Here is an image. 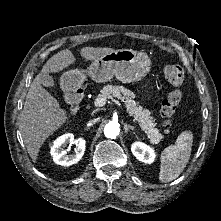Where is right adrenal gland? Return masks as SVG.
Returning a JSON list of instances; mask_svg holds the SVG:
<instances>
[{
	"label": "right adrenal gland",
	"mask_w": 221,
	"mask_h": 221,
	"mask_svg": "<svg viewBox=\"0 0 221 221\" xmlns=\"http://www.w3.org/2000/svg\"><path fill=\"white\" fill-rule=\"evenodd\" d=\"M89 129H90L89 127L85 128V130H89Z\"/></svg>",
	"instance_id": "obj_1"
}]
</instances>
